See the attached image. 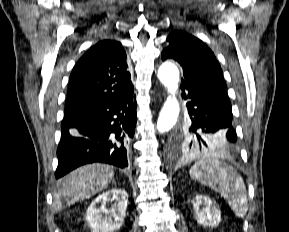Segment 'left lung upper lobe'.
Listing matches in <instances>:
<instances>
[{
    "label": "left lung upper lobe",
    "instance_id": "obj_1",
    "mask_svg": "<svg viewBox=\"0 0 289 232\" xmlns=\"http://www.w3.org/2000/svg\"><path fill=\"white\" fill-rule=\"evenodd\" d=\"M167 41L169 45L162 52V60L174 59L180 63L184 75L182 80L203 83L225 92L221 67L213 52L201 40L188 33L174 31ZM177 136V144L183 149L205 151V146L196 140L190 129L185 128Z\"/></svg>",
    "mask_w": 289,
    "mask_h": 232
}]
</instances>
